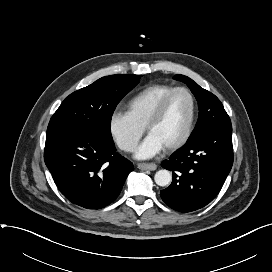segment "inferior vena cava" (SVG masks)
<instances>
[{
  "label": "inferior vena cava",
  "instance_id": "inferior-vena-cava-1",
  "mask_svg": "<svg viewBox=\"0 0 272 272\" xmlns=\"http://www.w3.org/2000/svg\"><path fill=\"white\" fill-rule=\"evenodd\" d=\"M134 148H135V146H134V145H129V146L127 147V150H128V151H133V150H134Z\"/></svg>",
  "mask_w": 272,
  "mask_h": 272
}]
</instances>
